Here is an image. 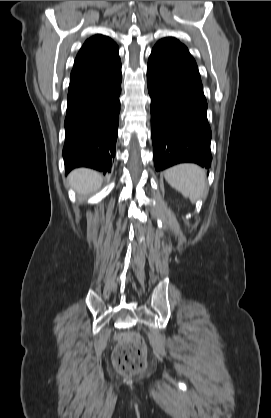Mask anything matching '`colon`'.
Wrapping results in <instances>:
<instances>
[{"instance_id":"1","label":"colon","mask_w":271,"mask_h":418,"mask_svg":"<svg viewBox=\"0 0 271 418\" xmlns=\"http://www.w3.org/2000/svg\"><path fill=\"white\" fill-rule=\"evenodd\" d=\"M114 367L120 373L132 374L146 366V346L136 334H123L118 337V344L113 352Z\"/></svg>"}]
</instances>
